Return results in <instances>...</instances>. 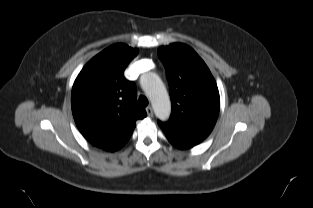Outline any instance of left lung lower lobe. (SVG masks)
Masks as SVG:
<instances>
[{
    "instance_id": "left-lung-lower-lobe-1",
    "label": "left lung lower lobe",
    "mask_w": 313,
    "mask_h": 208,
    "mask_svg": "<svg viewBox=\"0 0 313 208\" xmlns=\"http://www.w3.org/2000/svg\"><path fill=\"white\" fill-rule=\"evenodd\" d=\"M175 147L179 148V149H188L191 148L189 146L183 145V144H177V143H172Z\"/></svg>"
}]
</instances>
